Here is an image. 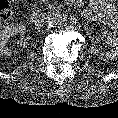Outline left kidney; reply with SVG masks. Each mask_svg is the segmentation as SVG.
<instances>
[{"label": "left kidney", "instance_id": "5707ae66", "mask_svg": "<svg viewBox=\"0 0 118 118\" xmlns=\"http://www.w3.org/2000/svg\"><path fill=\"white\" fill-rule=\"evenodd\" d=\"M101 36L106 40L107 44L110 46V49L106 52H103L95 45L91 47L90 52L93 55H96L104 61L117 60L118 59V37L112 35V33L101 31Z\"/></svg>", "mask_w": 118, "mask_h": 118}]
</instances>
